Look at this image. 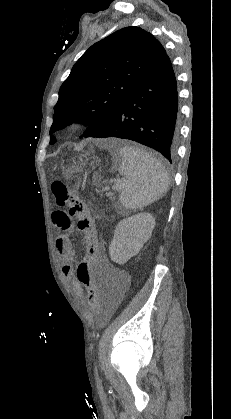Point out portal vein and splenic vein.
I'll list each match as a JSON object with an SVG mask.
<instances>
[{"mask_svg": "<svg viewBox=\"0 0 231 419\" xmlns=\"http://www.w3.org/2000/svg\"><path fill=\"white\" fill-rule=\"evenodd\" d=\"M113 188L116 189V190L120 189V184L116 185V186H113Z\"/></svg>", "mask_w": 231, "mask_h": 419, "instance_id": "18ae733b", "label": "portal vein and splenic vein"}]
</instances>
